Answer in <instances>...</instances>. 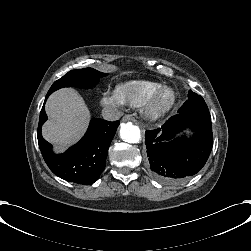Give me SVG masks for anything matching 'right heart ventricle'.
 Wrapping results in <instances>:
<instances>
[{
    "label": "right heart ventricle",
    "mask_w": 251,
    "mask_h": 251,
    "mask_svg": "<svg viewBox=\"0 0 251 251\" xmlns=\"http://www.w3.org/2000/svg\"><path fill=\"white\" fill-rule=\"evenodd\" d=\"M158 82L150 78L121 82L115 87V95L124 104L135 108L143 107Z\"/></svg>",
    "instance_id": "1"
}]
</instances>
